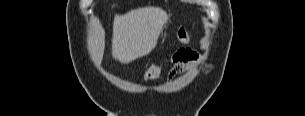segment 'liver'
Returning <instances> with one entry per match:
<instances>
[{"mask_svg": "<svg viewBox=\"0 0 305 116\" xmlns=\"http://www.w3.org/2000/svg\"><path fill=\"white\" fill-rule=\"evenodd\" d=\"M167 13L159 7H144L124 15H115L112 35V56L128 64L147 55L156 45ZM88 36V50L92 61L99 66L105 48V31L98 18H93Z\"/></svg>", "mask_w": 305, "mask_h": 116, "instance_id": "obj_1", "label": "liver"}]
</instances>
